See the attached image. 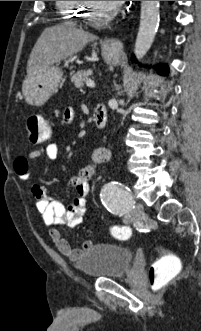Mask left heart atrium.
Instances as JSON below:
<instances>
[{"label": "left heart atrium", "instance_id": "left-heart-atrium-1", "mask_svg": "<svg viewBox=\"0 0 201 331\" xmlns=\"http://www.w3.org/2000/svg\"><path fill=\"white\" fill-rule=\"evenodd\" d=\"M108 2L112 7H117L121 5L124 1H105Z\"/></svg>", "mask_w": 201, "mask_h": 331}]
</instances>
